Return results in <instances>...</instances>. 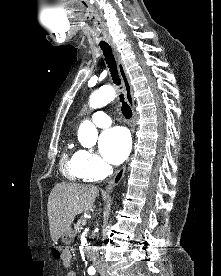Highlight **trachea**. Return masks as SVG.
I'll return each instance as SVG.
<instances>
[{"mask_svg":"<svg viewBox=\"0 0 221 276\" xmlns=\"http://www.w3.org/2000/svg\"><path fill=\"white\" fill-rule=\"evenodd\" d=\"M99 46L103 51V55L105 57L106 64L108 65V68L111 72V77L113 82L116 85L120 86L121 80L118 75L117 65H116L115 58L112 54L111 47L106 42H101ZM120 102L122 103L121 110L123 115L125 116V118L130 119L132 116V110L130 106L127 104V102L124 101L123 94H120Z\"/></svg>","mask_w":221,"mask_h":276,"instance_id":"trachea-1","label":"trachea"}]
</instances>
